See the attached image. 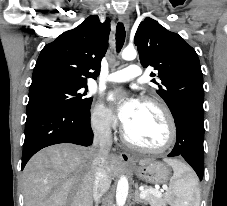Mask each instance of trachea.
<instances>
[{
    "label": "trachea",
    "mask_w": 227,
    "mask_h": 206,
    "mask_svg": "<svg viewBox=\"0 0 227 206\" xmlns=\"http://www.w3.org/2000/svg\"><path fill=\"white\" fill-rule=\"evenodd\" d=\"M125 41V28L123 23H118L116 27V50L119 53Z\"/></svg>",
    "instance_id": "trachea-1"
}]
</instances>
